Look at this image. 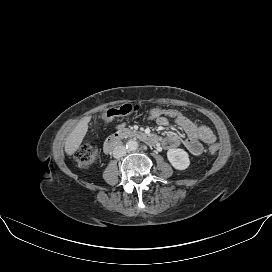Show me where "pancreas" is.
<instances>
[{
    "label": "pancreas",
    "instance_id": "cf45deb5",
    "mask_svg": "<svg viewBox=\"0 0 272 272\" xmlns=\"http://www.w3.org/2000/svg\"><path fill=\"white\" fill-rule=\"evenodd\" d=\"M126 131H127V132H130V130H129V129H126Z\"/></svg>",
    "mask_w": 272,
    "mask_h": 272
}]
</instances>
